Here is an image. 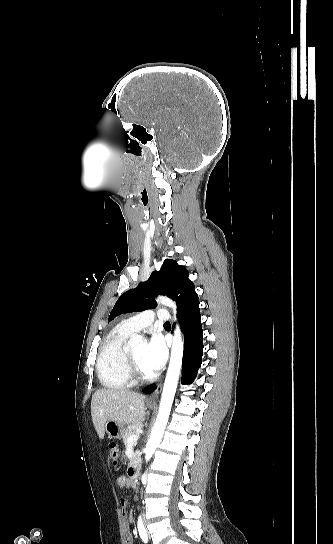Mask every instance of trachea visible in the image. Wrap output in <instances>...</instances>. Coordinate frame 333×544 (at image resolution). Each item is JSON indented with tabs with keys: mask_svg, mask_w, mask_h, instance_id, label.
Instances as JSON below:
<instances>
[{
	"mask_svg": "<svg viewBox=\"0 0 333 544\" xmlns=\"http://www.w3.org/2000/svg\"><path fill=\"white\" fill-rule=\"evenodd\" d=\"M164 325L165 326H170L171 324H170V322L167 321V322L164 323Z\"/></svg>",
	"mask_w": 333,
	"mask_h": 544,
	"instance_id": "trachea-1",
	"label": "trachea"
}]
</instances>
